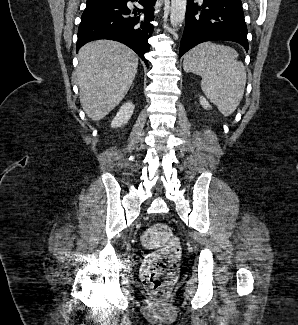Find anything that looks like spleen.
<instances>
[{
    "mask_svg": "<svg viewBox=\"0 0 298 325\" xmlns=\"http://www.w3.org/2000/svg\"><path fill=\"white\" fill-rule=\"evenodd\" d=\"M183 68L200 74L201 88L218 110L229 116L243 98L246 70L238 60V52L231 46L201 42L187 52Z\"/></svg>",
    "mask_w": 298,
    "mask_h": 325,
    "instance_id": "spleen-1",
    "label": "spleen"
}]
</instances>
